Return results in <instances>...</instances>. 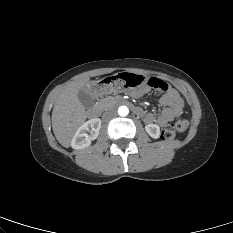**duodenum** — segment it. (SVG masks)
Wrapping results in <instances>:
<instances>
[{
	"mask_svg": "<svg viewBox=\"0 0 233 233\" xmlns=\"http://www.w3.org/2000/svg\"><path fill=\"white\" fill-rule=\"evenodd\" d=\"M117 102L120 105L132 106V104L128 100H125V99H118ZM133 110L136 114L141 115V109L137 107H133ZM99 114H100V110L98 107H93L88 111V116L91 119H97L99 117Z\"/></svg>",
	"mask_w": 233,
	"mask_h": 233,
	"instance_id": "1",
	"label": "duodenum"
}]
</instances>
